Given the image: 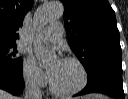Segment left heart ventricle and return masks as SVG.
<instances>
[{"label": "left heart ventricle", "instance_id": "1", "mask_svg": "<svg viewBox=\"0 0 128 99\" xmlns=\"http://www.w3.org/2000/svg\"><path fill=\"white\" fill-rule=\"evenodd\" d=\"M49 70L54 85L60 90L74 89L82 81L81 70L75 63L55 60Z\"/></svg>", "mask_w": 128, "mask_h": 99}]
</instances>
